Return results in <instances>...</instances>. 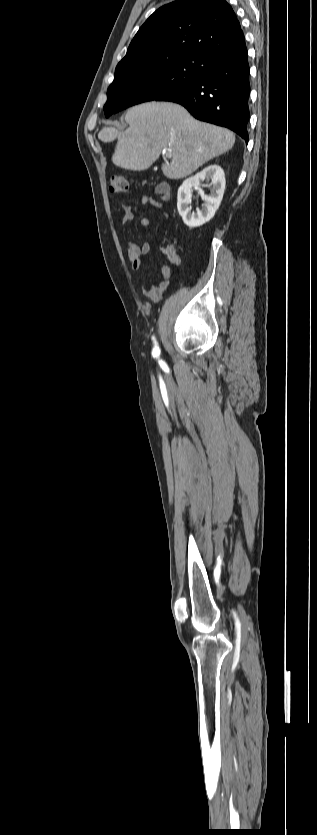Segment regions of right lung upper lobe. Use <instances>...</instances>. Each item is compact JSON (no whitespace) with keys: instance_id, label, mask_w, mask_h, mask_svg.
Listing matches in <instances>:
<instances>
[{"instance_id":"cb5924a9","label":"right lung upper lobe","mask_w":317,"mask_h":835,"mask_svg":"<svg viewBox=\"0 0 317 835\" xmlns=\"http://www.w3.org/2000/svg\"><path fill=\"white\" fill-rule=\"evenodd\" d=\"M242 33L225 0H177L156 10L139 29L115 75L197 58Z\"/></svg>"}]
</instances>
